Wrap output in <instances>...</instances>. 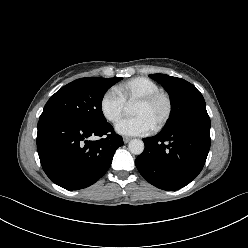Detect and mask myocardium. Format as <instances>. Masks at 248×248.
Wrapping results in <instances>:
<instances>
[{"instance_id":"1","label":"myocardium","mask_w":248,"mask_h":248,"mask_svg":"<svg viewBox=\"0 0 248 248\" xmlns=\"http://www.w3.org/2000/svg\"><path fill=\"white\" fill-rule=\"evenodd\" d=\"M160 99H163L166 102V112L160 122L154 126L153 129L155 131L162 129L170 120L173 111V104L170 96L163 91H157L147 96H144L135 102L137 104L150 105Z\"/></svg>"}]
</instances>
